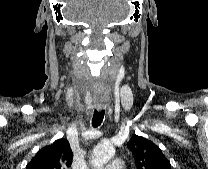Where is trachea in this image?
Wrapping results in <instances>:
<instances>
[{
  "label": "trachea",
  "instance_id": "obj_1",
  "mask_svg": "<svg viewBox=\"0 0 208 169\" xmlns=\"http://www.w3.org/2000/svg\"><path fill=\"white\" fill-rule=\"evenodd\" d=\"M105 112L103 110H95L92 118V126L98 127L101 125L103 119H104Z\"/></svg>",
  "mask_w": 208,
  "mask_h": 169
}]
</instances>
